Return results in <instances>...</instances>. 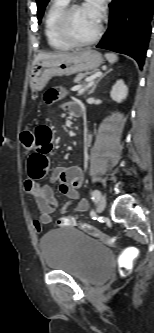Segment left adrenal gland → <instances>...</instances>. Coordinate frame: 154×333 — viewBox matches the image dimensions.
<instances>
[{
    "instance_id": "left-adrenal-gland-1",
    "label": "left adrenal gland",
    "mask_w": 154,
    "mask_h": 333,
    "mask_svg": "<svg viewBox=\"0 0 154 333\" xmlns=\"http://www.w3.org/2000/svg\"><path fill=\"white\" fill-rule=\"evenodd\" d=\"M112 71V69H110L109 71H107L104 75H102L92 86L91 90L89 91V94H92L97 86V84L100 82V80L105 77L108 73H110Z\"/></svg>"
}]
</instances>
